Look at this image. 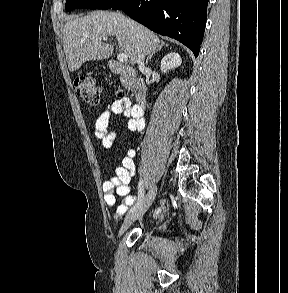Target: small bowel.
Returning a JSON list of instances; mask_svg holds the SVG:
<instances>
[{
  "label": "small bowel",
  "instance_id": "obj_1",
  "mask_svg": "<svg viewBox=\"0 0 288 293\" xmlns=\"http://www.w3.org/2000/svg\"><path fill=\"white\" fill-rule=\"evenodd\" d=\"M116 114L128 117L127 127L130 131L140 132L145 127L143 109L138 105H132L128 98H120L106 105L97 118L94 129V137L104 150L111 149L117 137L115 131L109 130L112 117ZM135 156L136 150L129 148L122 158L121 164L114 167V175L104 181L102 185L105 203L113 209L116 218L123 216L135 202V197L129 195V184L135 174ZM116 196L123 197L122 203L118 206H116Z\"/></svg>",
  "mask_w": 288,
  "mask_h": 293
}]
</instances>
